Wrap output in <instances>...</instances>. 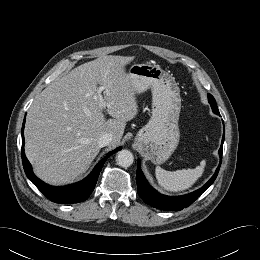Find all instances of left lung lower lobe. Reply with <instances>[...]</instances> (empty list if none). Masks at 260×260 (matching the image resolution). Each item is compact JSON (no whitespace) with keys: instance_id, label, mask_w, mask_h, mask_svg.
Wrapping results in <instances>:
<instances>
[{"instance_id":"0a47b994","label":"left lung lower lobe","mask_w":260,"mask_h":260,"mask_svg":"<svg viewBox=\"0 0 260 260\" xmlns=\"http://www.w3.org/2000/svg\"><path fill=\"white\" fill-rule=\"evenodd\" d=\"M223 142H224V134L222 138V144L219 149L220 155V164L216 169L215 174L211 177V179L200 189L194 191L192 193L177 196V197H169L158 193L154 190L146 181L141 169H140V162L138 160V167H137V175H136V182H137V191L142 200L157 209L167 210V211H179L183 208L188 207L191 205L203 192H205L209 186L212 185L214 180L217 177L221 160H222V152H223Z\"/></svg>"}]
</instances>
